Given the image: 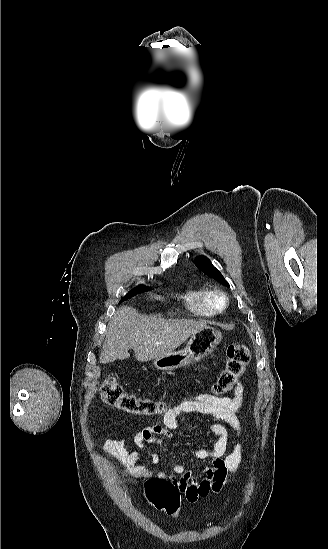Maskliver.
Returning <instances> with one entry per match:
<instances>
[{
    "label": "liver",
    "instance_id": "obj_1",
    "mask_svg": "<svg viewBox=\"0 0 328 549\" xmlns=\"http://www.w3.org/2000/svg\"><path fill=\"white\" fill-rule=\"evenodd\" d=\"M207 321L162 319L158 315H140L132 307H120L108 323L100 363L128 359L133 349L137 361L145 363L174 353L193 333L206 327Z\"/></svg>",
    "mask_w": 328,
    "mask_h": 549
}]
</instances>
